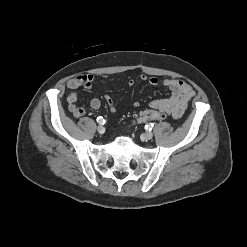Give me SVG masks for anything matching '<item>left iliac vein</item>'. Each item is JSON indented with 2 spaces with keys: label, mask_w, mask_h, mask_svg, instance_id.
<instances>
[{
  "label": "left iliac vein",
  "mask_w": 247,
  "mask_h": 247,
  "mask_svg": "<svg viewBox=\"0 0 247 247\" xmlns=\"http://www.w3.org/2000/svg\"><path fill=\"white\" fill-rule=\"evenodd\" d=\"M144 140H150L153 138V133L152 132H146L142 135Z\"/></svg>",
  "instance_id": "left-iliac-vein-1"
}]
</instances>
